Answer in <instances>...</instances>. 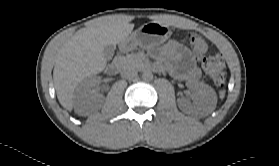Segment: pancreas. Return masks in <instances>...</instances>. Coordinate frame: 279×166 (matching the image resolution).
<instances>
[{
	"label": "pancreas",
	"mask_w": 279,
	"mask_h": 166,
	"mask_svg": "<svg viewBox=\"0 0 279 166\" xmlns=\"http://www.w3.org/2000/svg\"><path fill=\"white\" fill-rule=\"evenodd\" d=\"M119 61L122 69L140 68L143 66L141 57L135 53L127 54L126 56H120Z\"/></svg>",
	"instance_id": "cf45deb5"
}]
</instances>
